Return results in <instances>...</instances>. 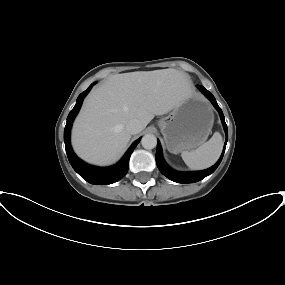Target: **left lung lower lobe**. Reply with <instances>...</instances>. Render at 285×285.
<instances>
[{
	"instance_id": "0a47b994",
	"label": "left lung lower lobe",
	"mask_w": 285,
	"mask_h": 285,
	"mask_svg": "<svg viewBox=\"0 0 285 285\" xmlns=\"http://www.w3.org/2000/svg\"><path fill=\"white\" fill-rule=\"evenodd\" d=\"M197 87L212 102L214 107L219 112L224 130L226 133V141H225V146H224L222 155L215 165H213L212 167H210L209 169H206V170L196 171V172H187V173L177 172V171L171 169L166 164V162L164 161L163 156H162V149H161L160 142L158 141L157 142V150H156L157 167L163 175H165L170 180H172L174 182H178V183L198 182V181L202 180L203 178H205L206 176H208L209 174L213 173L216 170V168L219 166V164L223 158L224 151L226 148V143L228 140V130H227V125L225 123L224 115L222 113L221 108L218 106L214 96L208 90H206L203 86L197 85Z\"/></svg>"
}]
</instances>
